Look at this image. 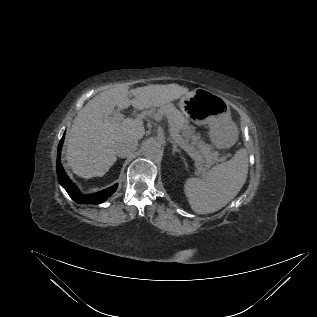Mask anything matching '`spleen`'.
Listing matches in <instances>:
<instances>
[{
    "instance_id": "1",
    "label": "spleen",
    "mask_w": 317,
    "mask_h": 317,
    "mask_svg": "<svg viewBox=\"0 0 317 317\" xmlns=\"http://www.w3.org/2000/svg\"><path fill=\"white\" fill-rule=\"evenodd\" d=\"M248 174V154L245 148L227 162L212 167L203 179L189 178L184 192L192 210L198 214L218 211L236 197Z\"/></svg>"
}]
</instances>
